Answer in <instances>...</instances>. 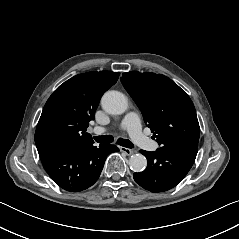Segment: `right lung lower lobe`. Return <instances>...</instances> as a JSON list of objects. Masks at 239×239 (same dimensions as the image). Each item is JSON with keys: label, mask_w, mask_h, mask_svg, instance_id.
<instances>
[{"label": "right lung lower lobe", "mask_w": 239, "mask_h": 239, "mask_svg": "<svg viewBox=\"0 0 239 239\" xmlns=\"http://www.w3.org/2000/svg\"><path fill=\"white\" fill-rule=\"evenodd\" d=\"M119 149L114 145L92 144L56 147L39 151L42 164L61 188L79 192L92 186L100 176L106 157Z\"/></svg>", "instance_id": "obj_1"}]
</instances>
